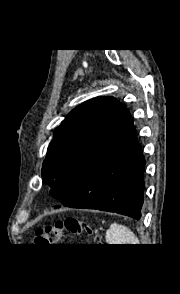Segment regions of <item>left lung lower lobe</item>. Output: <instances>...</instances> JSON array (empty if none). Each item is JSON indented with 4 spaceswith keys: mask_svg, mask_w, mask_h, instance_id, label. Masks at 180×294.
Masks as SVG:
<instances>
[{
    "mask_svg": "<svg viewBox=\"0 0 180 294\" xmlns=\"http://www.w3.org/2000/svg\"><path fill=\"white\" fill-rule=\"evenodd\" d=\"M144 168L141 145L127 110L60 202L68 207L116 212L139 220Z\"/></svg>",
    "mask_w": 180,
    "mask_h": 294,
    "instance_id": "0a47b994",
    "label": "left lung lower lobe"
}]
</instances>
